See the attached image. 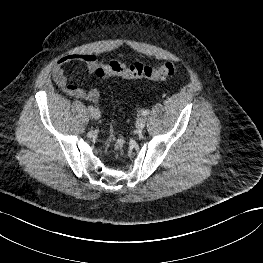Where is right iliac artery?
<instances>
[{
    "mask_svg": "<svg viewBox=\"0 0 263 263\" xmlns=\"http://www.w3.org/2000/svg\"><path fill=\"white\" fill-rule=\"evenodd\" d=\"M88 109L90 110V111H93L94 110V107L93 106H88Z\"/></svg>",
    "mask_w": 263,
    "mask_h": 263,
    "instance_id": "obj_1",
    "label": "right iliac artery"
}]
</instances>
